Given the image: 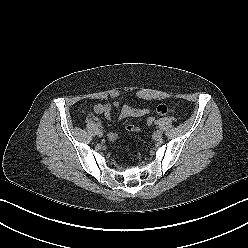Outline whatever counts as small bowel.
<instances>
[{"label": "small bowel", "mask_w": 248, "mask_h": 248, "mask_svg": "<svg viewBox=\"0 0 248 248\" xmlns=\"http://www.w3.org/2000/svg\"><path fill=\"white\" fill-rule=\"evenodd\" d=\"M120 107V117L128 118V117H141L150 113V109L148 108H138L128 104L121 105L119 102H111L106 104H97L94 106V112L98 115H104L107 119L112 118V112L114 108ZM156 112L159 115H166L170 112V107L165 104H160L156 107ZM127 131L129 132H138L141 128L134 126L132 124H128L126 126Z\"/></svg>", "instance_id": "obj_1"}]
</instances>
